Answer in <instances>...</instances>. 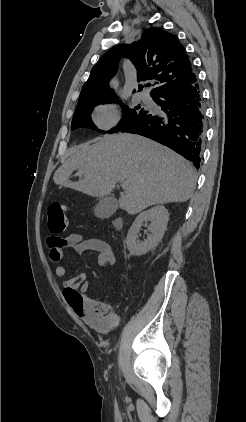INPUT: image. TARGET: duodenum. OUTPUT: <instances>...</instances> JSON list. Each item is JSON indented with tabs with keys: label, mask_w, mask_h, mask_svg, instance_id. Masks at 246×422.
<instances>
[{
	"label": "duodenum",
	"mask_w": 246,
	"mask_h": 422,
	"mask_svg": "<svg viewBox=\"0 0 246 422\" xmlns=\"http://www.w3.org/2000/svg\"><path fill=\"white\" fill-rule=\"evenodd\" d=\"M116 226H120V221H116Z\"/></svg>",
	"instance_id": "obj_1"
}]
</instances>
